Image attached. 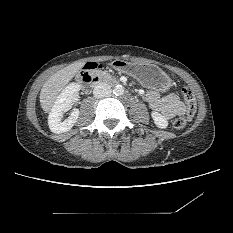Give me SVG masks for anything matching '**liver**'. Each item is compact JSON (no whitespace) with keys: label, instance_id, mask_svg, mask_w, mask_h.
I'll return each mask as SVG.
<instances>
[{"label":"liver","instance_id":"liver-1","mask_svg":"<svg viewBox=\"0 0 233 233\" xmlns=\"http://www.w3.org/2000/svg\"><path fill=\"white\" fill-rule=\"evenodd\" d=\"M84 66V62H74L53 74L43 85L40 92V105L45 113H49L65 86Z\"/></svg>","mask_w":233,"mask_h":233}]
</instances>
